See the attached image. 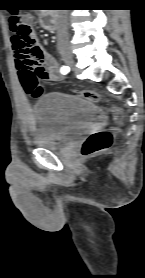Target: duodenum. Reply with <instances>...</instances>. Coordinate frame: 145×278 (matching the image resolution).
Segmentation results:
<instances>
[{"label":"duodenum","instance_id":"duodenum-1","mask_svg":"<svg viewBox=\"0 0 145 278\" xmlns=\"http://www.w3.org/2000/svg\"><path fill=\"white\" fill-rule=\"evenodd\" d=\"M40 23L51 33H54L57 30V23L50 14L42 15L40 17Z\"/></svg>","mask_w":145,"mask_h":278}]
</instances>
